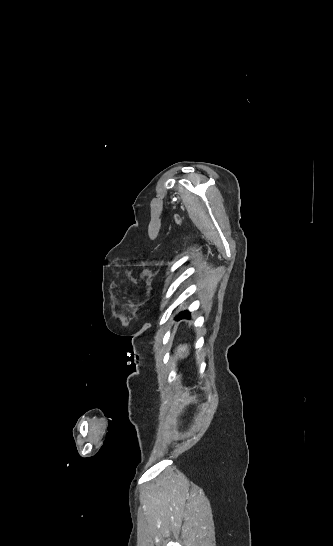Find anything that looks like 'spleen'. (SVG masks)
Returning <instances> with one entry per match:
<instances>
[{
	"label": "spleen",
	"instance_id": "obj_1",
	"mask_svg": "<svg viewBox=\"0 0 333 546\" xmlns=\"http://www.w3.org/2000/svg\"><path fill=\"white\" fill-rule=\"evenodd\" d=\"M186 349H187V346H185V345H180V346L178 347L177 351H178L179 353H181V352H186Z\"/></svg>",
	"mask_w": 333,
	"mask_h": 546
}]
</instances>
